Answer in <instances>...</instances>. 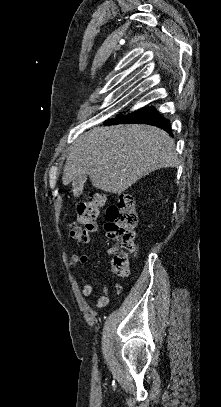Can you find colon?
<instances>
[{
	"label": "colon",
	"mask_w": 221,
	"mask_h": 407,
	"mask_svg": "<svg viewBox=\"0 0 221 407\" xmlns=\"http://www.w3.org/2000/svg\"><path fill=\"white\" fill-rule=\"evenodd\" d=\"M106 200V193L96 191L90 193L88 201L77 206L76 220L68 230L71 239L80 241L91 237L98 227L99 209ZM107 218V234L115 241L110 251L113 271L118 277L125 278L130 272L129 256L136 249L137 213L134 197L119 194L116 203L108 210Z\"/></svg>",
	"instance_id": "colon-1"
}]
</instances>
